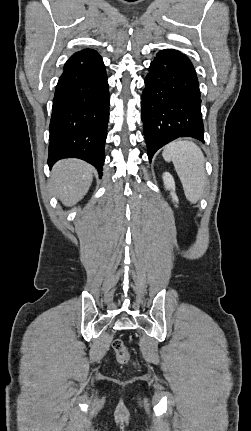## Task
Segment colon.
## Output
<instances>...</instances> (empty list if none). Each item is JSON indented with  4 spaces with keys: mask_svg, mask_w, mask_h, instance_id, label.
Segmentation results:
<instances>
[{
    "mask_svg": "<svg viewBox=\"0 0 251 431\" xmlns=\"http://www.w3.org/2000/svg\"><path fill=\"white\" fill-rule=\"evenodd\" d=\"M117 362L125 365L131 362V355L121 339H115L112 343Z\"/></svg>",
    "mask_w": 251,
    "mask_h": 431,
    "instance_id": "5ec220e1",
    "label": "colon"
}]
</instances>
